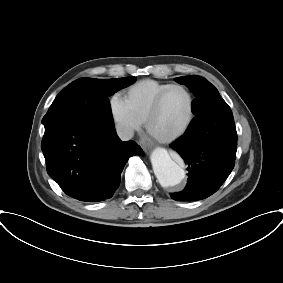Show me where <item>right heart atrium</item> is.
<instances>
[{
  "label": "right heart atrium",
  "instance_id": "right-heart-atrium-1",
  "mask_svg": "<svg viewBox=\"0 0 283 283\" xmlns=\"http://www.w3.org/2000/svg\"><path fill=\"white\" fill-rule=\"evenodd\" d=\"M111 117L121 137L128 139L140 129L141 123L134 117L125 100L114 95L109 102Z\"/></svg>",
  "mask_w": 283,
  "mask_h": 283
}]
</instances>
